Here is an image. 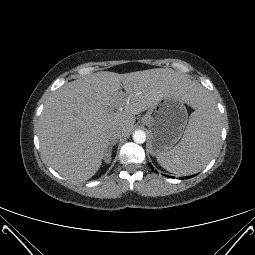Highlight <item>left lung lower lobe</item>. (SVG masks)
I'll return each instance as SVG.
<instances>
[{
	"label": "left lung lower lobe",
	"instance_id": "0a47b994",
	"mask_svg": "<svg viewBox=\"0 0 255 255\" xmlns=\"http://www.w3.org/2000/svg\"><path fill=\"white\" fill-rule=\"evenodd\" d=\"M193 176H195V175H193ZM193 176L186 177V179L191 178V177H193ZM181 179H183V177H182Z\"/></svg>",
	"mask_w": 255,
	"mask_h": 255
}]
</instances>
